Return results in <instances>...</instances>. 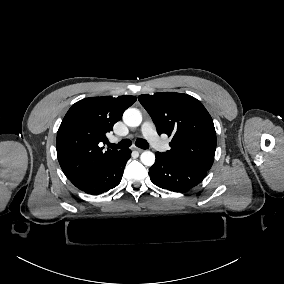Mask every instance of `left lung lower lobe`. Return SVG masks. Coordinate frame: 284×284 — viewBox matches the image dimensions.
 I'll use <instances>...</instances> for the list:
<instances>
[{
    "instance_id": "1",
    "label": "left lung lower lobe",
    "mask_w": 284,
    "mask_h": 284,
    "mask_svg": "<svg viewBox=\"0 0 284 284\" xmlns=\"http://www.w3.org/2000/svg\"><path fill=\"white\" fill-rule=\"evenodd\" d=\"M156 161L149 169L151 181L162 189L186 192L199 184L207 171L169 160L162 153L155 154Z\"/></svg>"
}]
</instances>
